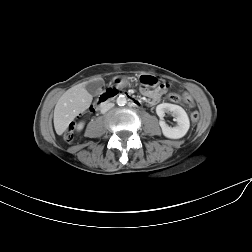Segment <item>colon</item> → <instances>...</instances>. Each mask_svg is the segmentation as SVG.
Instances as JSON below:
<instances>
[{
    "mask_svg": "<svg viewBox=\"0 0 252 252\" xmlns=\"http://www.w3.org/2000/svg\"><path fill=\"white\" fill-rule=\"evenodd\" d=\"M143 84L146 85V86H153L156 84L155 80H153L151 77H145L143 79ZM117 91L116 88H108L106 89L102 94L103 95H110L112 94L113 92ZM168 98L171 100V101H174V102H179L181 101L183 104H185L188 108H193L194 107V104H193V101L188 98V97H183L181 98L179 95L177 94H169L168 95ZM190 118L193 122H197L198 119H199V113L196 111V110H192L191 113H190ZM65 140L66 141H71L72 140V134L71 132H67L65 134Z\"/></svg>",
    "mask_w": 252,
    "mask_h": 252,
    "instance_id": "5ec220e1",
    "label": "colon"
}]
</instances>
